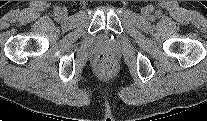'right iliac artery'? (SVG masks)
Segmentation results:
<instances>
[{
  "mask_svg": "<svg viewBox=\"0 0 207 121\" xmlns=\"http://www.w3.org/2000/svg\"><path fill=\"white\" fill-rule=\"evenodd\" d=\"M56 12L58 13L59 12V9H57Z\"/></svg>",
  "mask_w": 207,
  "mask_h": 121,
  "instance_id": "obj_1",
  "label": "right iliac artery"
}]
</instances>
